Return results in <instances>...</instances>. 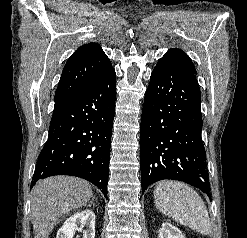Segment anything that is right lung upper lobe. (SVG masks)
Masks as SVG:
<instances>
[{"instance_id": "1", "label": "right lung upper lobe", "mask_w": 247, "mask_h": 238, "mask_svg": "<svg viewBox=\"0 0 247 238\" xmlns=\"http://www.w3.org/2000/svg\"><path fill=\"white\" fill-rule=\"evenodd\" d=\"M109 58L97 43L84 44L68 59L56 93L57 108L72 100L112 70Z\"/></svg>"}]
</instances>
